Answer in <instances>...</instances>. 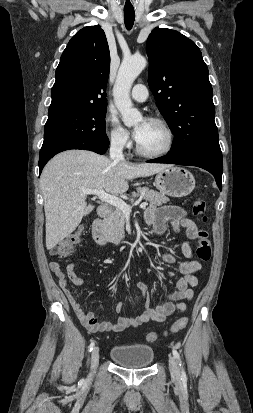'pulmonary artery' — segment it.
<instances>
[{"label": "pulmonary artery", "instance_id": "pulmonary-artery-1", "mask_svg": "<svg viewBox=\"0 0 253 413\" xmlns=\"http://www.w3.org/2000/svg\"><path fill=\"white\" fill-rule=\"evenodd\" d=\"M131 97L137 102H145L148 98V90L143 84H136L131 92Z\"/></svg>", "mask_w": 253, "mask_h": 413}]
</instances>
